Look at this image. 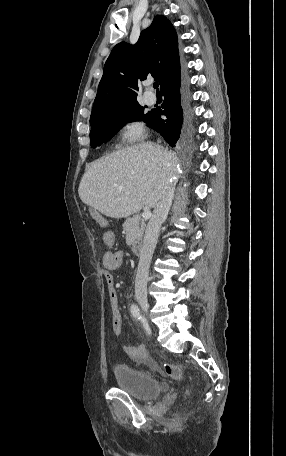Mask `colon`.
<instances>
[{"instance_id":"obj_1","label":"colon","mask_w":286,"mask_h":456,"mask_svg":"<svg viewBox=\"0 0 286 456\" xmlns=\"http://www.w3.org/2000/svg\"><path fill=\"white\" fill-rule=\"evenodd\" d=\"M135 356L138 361L147 364L154 371L159 370L158 364L148 356L145 350H139L135 353ZM164 373L173 379L181 378V368L173 364H165L163 367Z\"/></svg>"}]
</instances>
